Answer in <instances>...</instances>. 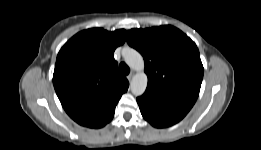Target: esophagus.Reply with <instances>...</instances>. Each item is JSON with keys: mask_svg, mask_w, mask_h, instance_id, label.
<instances>
[{"mask_svg": "<svg viewBox=\"0 0 261 150\" xmlns=\"http://www.w3.org/2000/svg\"><path fill=\"white\" fill-rule=\"evenodd\" d=\"M134 75H135V72L132 71V72L127 76V79H128L129 81H131V80L133 79Z\"/></svg>", "mask_w": 261, "mask_h": 150, "instance_id": "34e87169", "label": "esophagus"}]
</instances>
